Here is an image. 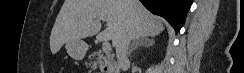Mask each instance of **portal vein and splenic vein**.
I'll return each instance as SVG.
<instances>
[{"mask_svg": "<svg viewBox=\"0 0 244 73\" xmlns=\"http://www.w3.org/2000/svg\"><path fill=\"white\" fill-rule=\"evenodd\" d=\"M102 48L105 52H109L111 50V45L107 40H104L102 43Z\"/></svg>", "mask_w": 244, "mask_h": 73, "instance_id": "obj_1", "label": "portal vein and splenic vein"}]
</instances>
